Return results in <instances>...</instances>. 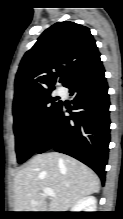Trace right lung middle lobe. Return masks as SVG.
<instances>
[{"mask_svg":"<svg viewBox=\"0 0 123 219\" xmlns=\"http://www.w3.org/2000/svg\"><path fill=\"white\" fill-rule=\"evenodd\" d=\"M53 89L13 104L18 163H23L38 150L47 126L61 105L58 98L51 96Z\"/></svg>","mask_w":123,"mask_h":219,"instance_id":"obj_1","label":"right lung middle lobe"}]
</instances>
